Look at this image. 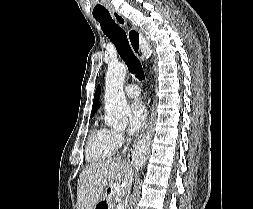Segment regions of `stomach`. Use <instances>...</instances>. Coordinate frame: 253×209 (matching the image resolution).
Returning <instances> with one entry per match:
<instances>
[{"label": "stomach", "instance_id": "1", "mask_svg": "<svg viewBox=\"0 0 253 209\" xmlns=\"http://www.w3.org/2000/svg\"><path fill=\"white\" fill-rule=\"evenodd\" d=\"M104 191H99V199H97L94 209H114V202L112 201V193L114 188L108 185V181H103Z\"/></svg>", "mask_w": 253, "mask_h": 209}]
</instances>
